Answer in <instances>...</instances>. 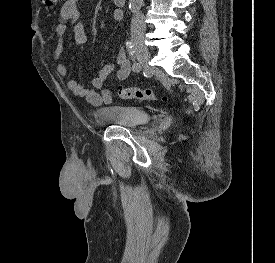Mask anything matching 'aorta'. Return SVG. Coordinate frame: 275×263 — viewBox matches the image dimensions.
I'll return each mask as SVG.
<instances>
[{"mask_svg": "<svg viewBox=\"0 0 275 263\" xmlns=\"http://www.w3.org/2000/svg\"><path fill=\"white\" fill-rule=\"evenodd\" d=\"M143 0H129V10L135 13L142 7Z\"/></svg>", "mask_w": 275, "mask_h": 263, "instance_id": "aorta-1", "label": "aorta"}]
</instances>
